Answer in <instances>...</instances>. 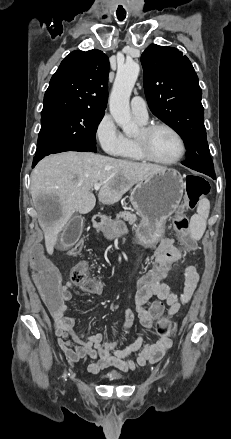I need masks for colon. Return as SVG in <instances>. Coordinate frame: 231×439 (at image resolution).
<instances>
[{
  "label": "colon",
  "mask_w": 231,
  "mask_h": 439,
  "mask_svg": "<svg viewBox=\"0 0 231 439\" xmlns=\"http://www.w3.org/2000/svg\"><path fill=\"white\" fill-rule=\"evenodd\" d=\"M209 192L208 182L199 176H186V201L184 208L193 209L197 203ZM174 228L179 235L183 246L192 251L195 249V242L190 233L189 220L184 214H178L173 222ZM83 243L80 240L75 241L74 246L70 248L69 253L75 254L82 248ZM36 256L35 259H30L28 265L30 268H35L34 284L39 286L42 301L46 305L48 313H58L61 306V295L57 293L59 283L62 282V275L54 268H51V260L46 254L45 247L37 246L32 251ZM181 262V256L162 258L160 263L153 264L151 268H147L142 273V277L133 285V292L141 283H168L165 278L167 273H172L173 266ZM72 281L81 289L90 293H100L102 291V283L91 278L88 275V266L85 262L77 263L71 271ZM133 294L131 291L128 293ZM156 333L161 338H169L176 330L172 321L165 317L159 320L156 324Z\"/></svg>",
  "instance_id": "1"
}]
</instances>
